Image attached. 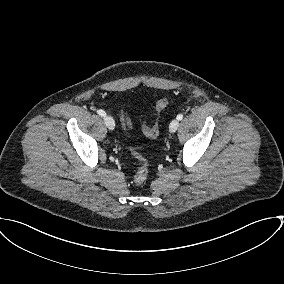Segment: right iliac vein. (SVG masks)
<instances>
[{
    "label": "right iliac vein",
    "mask_w": 284,
    "mask_h": 284,
    "mask_svg": "<svg viewBox=\"0 0 284 284\" xmlns=\"http://www.w3.org/2000/svg\"><path fill=\"white\" fill-rule=\"evenodd\" d=\"M103 119H104L105 125L107 126V128L109 130H114L115 129V121H114V119L111 116L105 115Z\"/></svg>",
    "instance_id": "1"
}]
</instances>
